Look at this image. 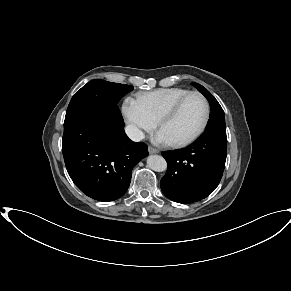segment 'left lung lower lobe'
I'll return each mask as SVG.
<instances>
[{
  "label": "left lung lower lobe",
  "instance_id": "1",
  "mask_svg": "<svg viewBox=\"0 0 291 291\" xmlns=\"http://www.w3.org/2000/svg\"><path fill=\"white\" fill-rule=\"evenodd\" d=\"M226 153V128L205 130L191 146L162 153L168 164L161 179L162 192L184 204L206 198L221 180Z\"/></svg>",
  "mask_w": 291,
  "mask_h": 291
}]
</instances>
